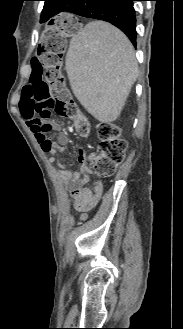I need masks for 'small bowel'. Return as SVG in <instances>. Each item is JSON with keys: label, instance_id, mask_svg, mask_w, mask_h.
<instances>
[{"label": "small bowel", "instance_id": "small-bowel-1", "mask_svg": "<svg viewBox=\"0 0 183 329\" xmlns=\"http://www.w3.org/2000/svg\"><path fill=\"white\" fill-rule=\"evenodd\" d=\"M27 127L30 129L34 135L36 141L41 147L44 153L49 154V161L54 162L59 153L64 149L67 141V133L62 131L56 141L51 139V148L44 151L42 148V138L43 135L40 130V122L29 114H21ZM47 136V134H46ZM48 137V136H47ZM80 168L78 171H71L69 169H62L59 171L61 178L69 180L73 183L72 195L74 198L73 208L77 213H86L94 209L103 192V185L100 181H93L90 186H88L89 175L91 174V169L86 163L85 157L81 154L79 157Z\"/></svg>", "mask_w": 183, "mask_h": 329}]
</instances>
